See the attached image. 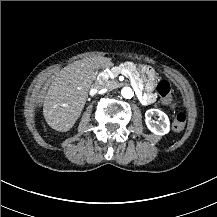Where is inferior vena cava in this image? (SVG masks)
I'll list each match as a JSON object with an SVG mask.
<instances>
[{"label": "inferior vena cava", "instance_id": "obj_1", "mask_svg": "<svg viewBox=\"0 0 217 217\" xmlns=\"http://www.w3.org/2000/svg\"><path fill=\"white\" fill-rule=\"evenodd\" d=\"M96 90H100L102 87L100 84H96L95 87H94Z\"/></svg>", "mask_w": 217, "mask_h": 217}]
</instances>
